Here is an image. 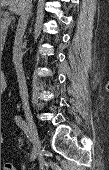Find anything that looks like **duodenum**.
I'll return each instance as SVG.
<instances>
[{
  "label": "duodenum",
  "instance_id": "duodenum-1",
  "mask_svg": "<svg viewBox=\"0 0 109 170\" xmlns=\"http://www.w3.org/2000/svg\"><path fill=\"white\" fill-rule=\"evenodd\" d=\"M7 88V78L4 72L1 73V90H6Z\"/></svg>",
  "mask_w": 109,
  "mask_h": 170
}]
</instances>
